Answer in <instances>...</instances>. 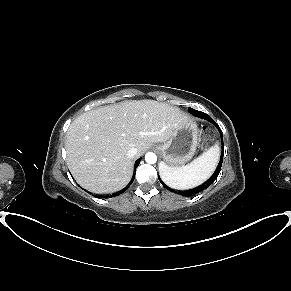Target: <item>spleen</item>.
<instances>
[{"mask_svg": "<svg viewBox=\"0 0 291 291\" xmlns=\"http://www.w3.org/2000/svg\"><path fill=\"white\" fill-rule=\"evenodd\" d=\"M218 158L219 147L214 145L186 166L171 168L161 163L159 174L163 182L173 189H191L202 184L212 175Z\"/></svg>", "mask_w": 291, "mask_h": 291, "instance_id": "1", "label": "spleen"}]
</instances>
